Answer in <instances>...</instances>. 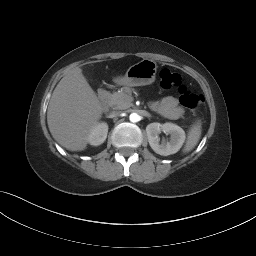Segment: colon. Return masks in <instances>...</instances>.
Listing matches in <instances>:
<instances>
[{
  "label": "colon",
  "instance_id": "1",
  "mask_svg": "<svg viewBox=\"0 0 256 256\" xmlns=\"http://www.w3.org/2000/svg\"><path fill=\"white\" fill-rule=\"evenodd\" d=\"M159 84L164 90L175 89L179 95V102L183 107L196 111L202 109L203 96L189 91L183 85L179 74L168 68H163L159 72Z\"/></svg>",
  "mask_w": 256,
  "mask_h": 256
}]
</instances>
